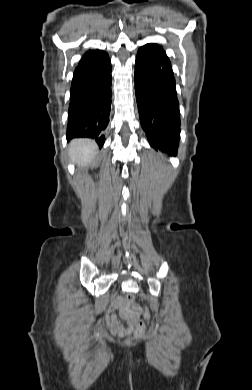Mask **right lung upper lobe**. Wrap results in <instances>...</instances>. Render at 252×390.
Returning <instances> with one entry per match:
<instances>
[{"mask_svg": "<svg viewBox=\"0 0 252 390\" xmlns=\"http://www.w3.org/2000/svg\"><path fill=\"white\" fill-rule=\"evenodd\" d=\"M108 54L102 50H88L80 60L73 76V80L97 75L110 66Z\"/></svg>", "mask_w": 252, "mask_h": 390, "instance_id": "1", "label": "right lung upper lobe"}]
</instances>
